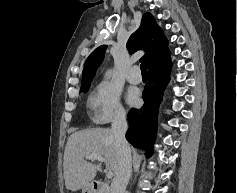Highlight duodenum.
<instances>
[{
	"label": "duodenum",
	"mask_w": 237,
	"mask_h": 193,
	"mask_svg": "<svg viewBox=\"0 0 237 193\" xmlns=\"http://www.w3.org/2000/svg\"><path fill=\"white\" fill-rule=\"evenodd\" d=\"M93 193H109L108 185L103 181H95L92 185Z\"/></svg>",
	"instance_id": "1"
}]
</instances>
